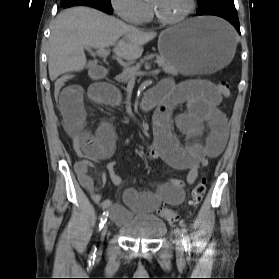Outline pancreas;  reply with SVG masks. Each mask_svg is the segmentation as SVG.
<instances>
[{
  "label": "pancreas",
  "instance_id": "1",
  "mask_svg": "<svg viewBox=\"0 0 279 279\" xmlns=\"http://www.w3.org/2000/svg\"><path fill=\"white\" fill-rule=\"evenodd\" d=\"M154 56L155 55H149L145 59H151ZM156 62L158 63V65L160 67H162V69L165 73L171 74L173 76L178 75V70L171 63H169L166 59H164L162 56H156ZM137 68H139V64L136 65L135 67L126 68L121 74H119L116 77V80L118 82L127 83L132 78L133 72L138 71Z\"/></svg>",
  "mask_w": 279,
  "mask_h": 279
}]
</instances>
